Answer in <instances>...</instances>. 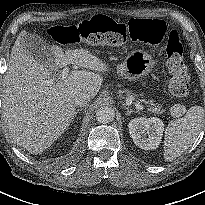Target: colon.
<instances>
[{
    "mask_svg": "<svg viewBox=\"0 0 205 205\" xmlns=\"http://www.w3.org/2000/svg\"><path fill=\"white\" fill-rule=\"evenodd\" d=\"M166 32L165 23L156 18H132L128 24H118L111 18L97 14L78 25H53L49 35L57 43L71 46L89 43L120 47L127 42L158 45ZM166 61L170 71L169 89L178 98H185L190 92V78L183 60V48L179 34L172 30L166 45Z\"/></svg>",
    "mask_w": 205,
    "mask_h": 205,
    "instance_id": "1",
    "label": "colon"
}]
</instances>
